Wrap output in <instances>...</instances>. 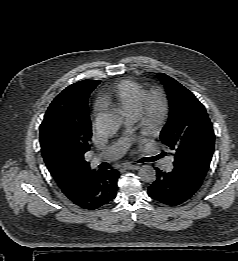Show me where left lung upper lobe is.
<instances>
[{
    "mask_svg": "<svg viewBox=\"0 0 238 261\" xmlns=\"http://www.w3.org/2000/svg\"><path fill=\"white\" fill-rule=\"evenodd\" d=\"M170 102L169 120L160 139L171 150L173 165L181 172L204 179L214 152L215 135L203 104L187 88L159 74Z\"/></svg>",
    "mask_w": 238,
    "mask_h": 261,
    "instance_id": "1",
    "label": "left lung upper lobe"
}]
</instances>
